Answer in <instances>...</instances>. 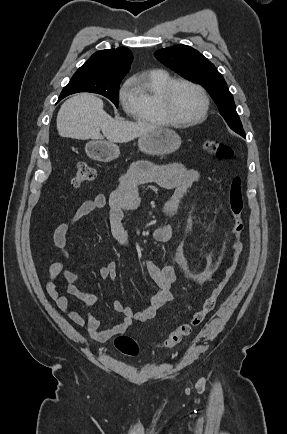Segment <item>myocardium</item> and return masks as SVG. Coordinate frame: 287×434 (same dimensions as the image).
Segmentation results:
<instances>
[{"label": "myocardium", "mask_w": 287, "mask_h": 434, "mask_svg": "<svg viewBox=\"0 0 287 434\" xmlns=\"http://www.w3.org/2000/svg\"><path fill=\"white\" fill-rule=\"evenodd\" d=\"M179 84H185V85H189L193 88H195L201 95L202 98V102H203V106H202V110L200 112V114L198 116H196L195 118L192 119H180L178 117H176V115L173 113L172 110V93L173 90L175 89V87ZM160 106L162 109L163 114L165 115V117L167 118V120L174 125H193V124H197L202 122L207 114H208V110H209V96L206 92V90L204 89V87H202L200 84L189 80V79H185V78H176V79H172L162 90L161 93V97H160Z\"/></svg>", "instance_id": "1"}]
</instances>
